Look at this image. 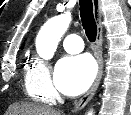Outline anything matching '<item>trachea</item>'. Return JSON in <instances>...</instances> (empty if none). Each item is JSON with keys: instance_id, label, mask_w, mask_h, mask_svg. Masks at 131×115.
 Segmentation results:
<instances>
[{"instance_id": "obj_1", "label": "trachea", "mask_w": 131, "mask_h": 115, "mask_svg": "<svg viewBox=\"0 0 131 115\" xmlns=\"http://www.w3.org/2000/svg\"><path fill=\"white\" fill-rule=\"evenodd\" d=\"M79 4L83 28L89 41L94 42L97 36V25L94 20L92 0H79Z\"/></svg>"}]
</instances>
